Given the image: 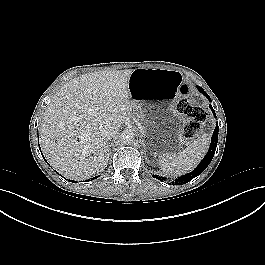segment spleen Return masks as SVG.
Listing matches in <instances>:
<instances>
[{
    "instance_id": "spleen-1",
    "label": "spleen",
    "mask_w": 265,
    "mask_h": 265,
    "mask_svg": "<svg viewBox=\"0 0 265 265\" xmlns=\"http://www.w3.org/2000/svg\"><path fill=\"white\" fill-rule=\"evenodd\" d=\"M208 146L209 137L203 135L190 143L185 149L167 156H160L159 165L167 174L181 175L192 170L200 162Z\"/></svg>"
}]
</instances>
